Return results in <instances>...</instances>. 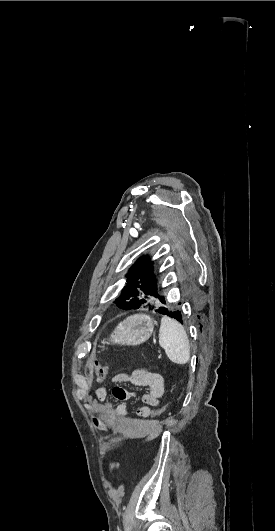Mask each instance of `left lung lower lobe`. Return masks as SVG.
I'll list each match as a JSON object with an SVG mask.
<instances>
[{"label": "left lung lower lobe", "mask_w": 275, "mask_h": 531, "mask_svg": "<svg viewBox=\"0 0 275 531\" xmlns=\"http://www.w3.org/2000/svg\"><path fill=\"white\" fill-rule=\"evenodd\" d=\"M159 313L161 314H165L171 318H174L176 320H178L180 323H183L182 321V316H181V312L179 310H176V311H168L167 309L165 308H160L158 310Z\"/></svg>", "instance_id": "obj_1"}]
</instances>
